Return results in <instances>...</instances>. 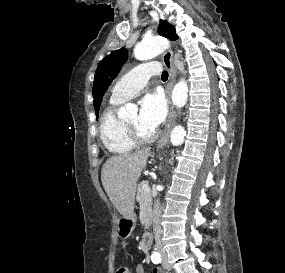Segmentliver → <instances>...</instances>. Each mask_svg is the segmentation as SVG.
Instances as JSON below:
<instances>
[{
	"label": "liver",
	"mask_w": 285,
	"mask_h": 273,
	"mask_svg": "<svg viewBox=\"0 0 285 273\" xmlns=\"http://www.w3.org/2000/svg\"><path fill=\"white\" fill-rule=\"evenodd\" d=\"M149 155L150 148L115 155L102 167V185L112 204L126 219L134 217L136 186Z\"/></svg>",
	"instance_id": "liver-1"
}]
</instances>
